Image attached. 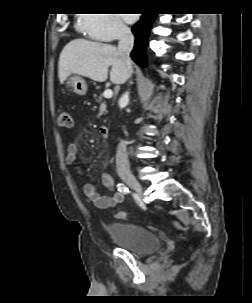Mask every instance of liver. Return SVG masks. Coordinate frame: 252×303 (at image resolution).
Masks as SVG:
<instances>
[{
	"mask_svg": "<svg viewBox=\"0 0 252 303\" xmlns=\"http://www.w3.org/2000/svg\"><path fill=\"white\" fill-rule=\"evenodd\" d=\"M110 71V81L116 85L124 84L129 71L118 49L110 44L74 39L62 50L58 64L60 83L71 75L77 74L97 82H104Z\"/></svg>",
	"mask_w": 252,
	"mask_h": 303,
	"instance_id": "obj_1",
	"label": "liver"
}]
</instances>
